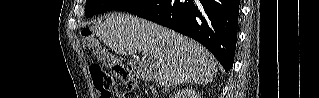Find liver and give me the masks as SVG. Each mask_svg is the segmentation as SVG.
Returning a JSON list of instances; mask_svg holds the SVG:
<instances>
[{
	"instance_id": "obj_1",
	"label": "liver",
	"mask_w": 319,
	"mask_h": 98,
	"mask_svg": "<svg viewBox=\"0 0 319 98\" xmlns=\"http://www.w3.org/2000/svg\"><path fill=\"white\" fill-rule=\"evenodd\" d=\"M92 31L117 54L148 51L154 61L152 77L160 86L208 84L216 77L215 59L205 47L153 22L113 13L95 24Z\"/></svg>"
}]
</instances>
